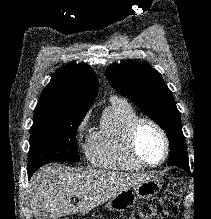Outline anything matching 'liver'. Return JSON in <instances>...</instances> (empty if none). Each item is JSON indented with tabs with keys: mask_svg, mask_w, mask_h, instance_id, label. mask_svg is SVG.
<instances>
[{
	"mask_svg": "<svg viewBox=\"0 0 211 219\" xmlns=\"http://www.w3.org/2000/svg\"><path fill=\"white\" fill-rule=\"evenodd\" d=\"M150 176L106 170H68L61 165H47L35 172L30 183L33 215L45 210L50 219L70 214H88L117 194L134 187ZM78 197L77 206L71 203Z\"/></svg>",
	"mask_w": 211,
	"mask_h": 219,
	"instance_id": "6515ba94",
	"label": "liver"
}]
</instances>
